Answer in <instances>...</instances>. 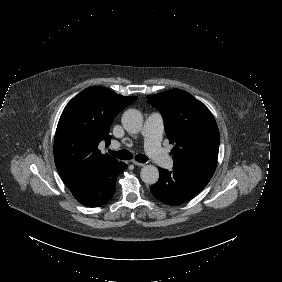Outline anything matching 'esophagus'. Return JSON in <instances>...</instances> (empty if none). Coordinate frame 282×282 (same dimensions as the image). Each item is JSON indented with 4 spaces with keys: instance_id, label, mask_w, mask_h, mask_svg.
I'll list each match as a JSON object with an SVG mask.
<instances>
[{
    "instance_id": "esophagus-1",
    "label": "esophagus",
    "mask_w": 282,
    "mask_h": 282,
    "mask_svg": "<svg viewBox=\"0 0 282 282\" xmlns=\"http://www.w3.org/2000/svg\"><path fill=\"white\" fill-rule=\"evenodd\" d=\"M132 163H133L134 165H136V166H144L143 163H140V162H138V161H136V160H132Z\"/></svg>"
}]
</instances>
